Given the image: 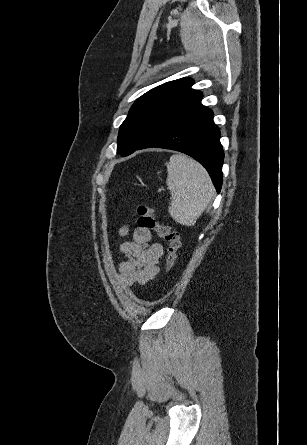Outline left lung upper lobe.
Returning <instances> with one entry per match:
<instances>
[{"instance_id": "left-lung-upper-lobe-1", "label": "left lung upper lobe", "mask_w": 307, "mask_h": 445, "mask_svg": "<svg viewBox=\"0 0 307 445\" xmlns=\"http://www.w3.org/2000/svg\"><path fill=\"white\" fill-rule=\"evenodd\" d=\"M193 83L188 78L173 80L138 98L120 126L117 151L122 156L133 153L147 138L200 104L202 93L191 89Z\"/></svg>"}]
</instances>
